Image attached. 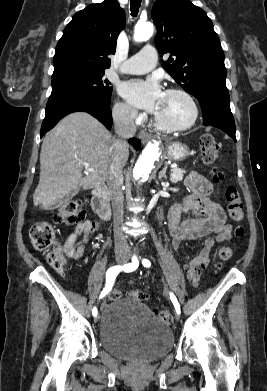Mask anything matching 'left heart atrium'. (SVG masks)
Instances as JSON below:
<instances>
[{
    "label": "left heart atrium",
    "mask_w": 267,
    "mask_h": 391,
    "mask_svg": "<svg viewBox=\"0 0 267 391\" xmlns=\"http://www.w3.org/2000/svg\"><path fill=\"white\" fill-rule=\"evenodd\" d=\"M122 95L134 106L157 113L164 93L155 78L132 80L121 88Z\"/></svg>",
    "instance_id": "obj_1"
}]
</instances>
